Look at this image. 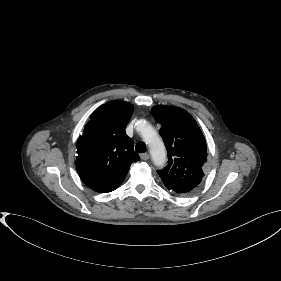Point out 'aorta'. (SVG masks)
Wrapping results in <instances>:
<instances>
[{
	"instance_id": "obj_1",
	"label": "aorta",
	"mask_w": 281,
	"mask_h": 281,
	"mask_svg": "<svg viewBox=\"0 0 281 281\" xmlns=\"http://www.w3.org/2000/svg\"><path fill=\"white\" fill-rule=\"evenodd\" d=\"M138 125L143 126L142 134L149 146L153 162L156 166H163L166 162V149L163 141L157 132L146 122L139 121Z\"/></svg>"
}]
</instances>
